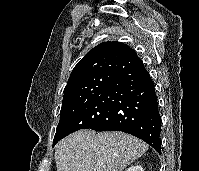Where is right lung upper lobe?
Returning <instances> with one entry per match:
<instances>
[{
  "instance_id": "obj_1",
  "label": "right lung upper lobe",
  "mask_w": 199,
  "mask_h": 171,
  "mask_svg": "<svg viewBox=\"0 0 199 171\" xmlns=\"http://www.w3.org/2000/svg\"><path fill=\"white\" fill-rule=\"evenodd\" d=\"M136 52L121 42H104L91 49L73 69L64 91L100 74L117 75L141 63Z\"/></svg>"
}]
</instances>
